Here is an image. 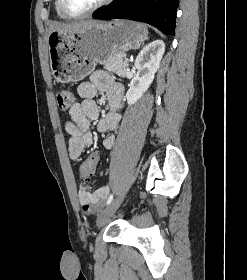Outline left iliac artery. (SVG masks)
Returning <instances> with one entry per match:
<instances>
[{"label":"left iliac artery","instance_id":"1","mask_svg":"<svg viewBox=\"0 0 247 280\" xmlns=\"http://www.w3.org/2000/svg\"><path fill=\"white\" fill-rule=\"evenodd\" d=\"M113 200V194H111L109 197H108V200H107V205H109Z\"/></svg>","mask_w":247,"mask_h":280}]
</instances>
